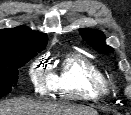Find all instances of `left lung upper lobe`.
Returning a JSON list of instances; mask_svg holds the SVG:
<instances>
[{
    "label": "left lung upper lobe",
    "mask_w": 131,
    "mask_h": 115,
    "mask_svg": "<svg viewBox=\"0 0 131 115\" xmlns=\"http://www.w3.org/2000/svg\"><path fill=\"white\" fill-rule=\"evenodd\" d=\"M82 38L100 53L113 52V48L105 44V36L102 32L95 29H79Z\"/></svg>",
    "instance_id": "5c2ea615"
}]
</instances>
